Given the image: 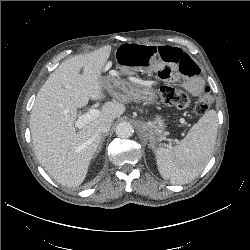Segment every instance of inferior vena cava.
I'll return each mask as SVG.
<instances>
[{
	"label": "inferior vena cava",
	"mask_w": 250,
	"mask_h": 250,
	"mask_svg": "<svg viewBox=\"0 0 250 250\" xmlns=\"http://www.w3.org/2000/svg\"><path fill=\"white\" fill-rule=\"evenodd\" d=\"M112 120H106L100 123L98 130L100 133H106L110 130V127L112 125Z\"/></svg>",
	"instance_id": "602c4592"
}]
</instances>
